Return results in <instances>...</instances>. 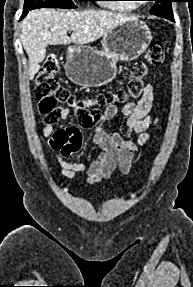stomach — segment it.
Returning <instances> with one entry per match:
<instances>
[{
    "label": "stomach",
    "instance_id": "stomach-1",
    "mask_svg": "<svg viewBox=\"0 0 193 287\" xmlns=\"http://www.w3.org/2000/svg\"><path fill=\"white\" fill-rule=\"evenodd\" d=\"M152 33L140 20H128L103 36L102 51L89 46L70 47L65 72L68 78L82 87H99L116 76L118 61L137 59L150 45Z\"/></svg>",
    "mask_w": 193,
    "mask_h": 287
}]
</instances>
